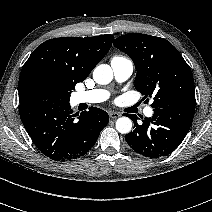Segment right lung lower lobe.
Listing matches in <instances>:
<instances>
[{
	"label": "right lung lower lobe",
	"instance_id": "obj_1",
	"mask_svg": "<svg viewBox=\"0 0 212 212\" xmlns=\"http://www.w3.org/2000/svg\"><path fill=\"white\" fill-rule=\"evenodd\" d=\"M19 112L37 148L45 156L61 162L87 154L109 122L108 114L96 107L80 115L72 114L69 102L25 101L20 103Z\"/></svg>",
	"mask_w": 212,
	"mask_h": 212
}]
</instances>
